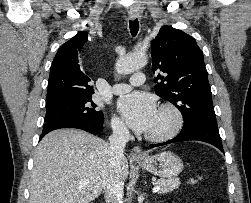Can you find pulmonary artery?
Instances as JSON below:
<instances>
[{"instance_id":"obj_1","label":"pulmonary artery","mask_w":251,"mask_h":203,"mask_svg":"<svg viewBox=\"0 0 251 203\" xmlns=\"http://www.w3.org/2000/svg\"><path fill=\"white\" fill-rule=\"evenodd\" d=\"M145 81V75L143 73H135L130 78V84L117 83L112 86V92L114 94H122L128 92L132 86H138L143 84Z\"/></svg>"}]
</instances>
